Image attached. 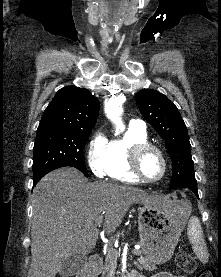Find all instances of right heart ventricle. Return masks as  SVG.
<instances>
[{
	"instance_id": "obj_1",
	"label": "right heart ventricle",
	"mask_w": 221,
	"mask_h": 277,
	"mask_svg": "<svg viewBox=\"0 0 221 277\" xmlns=\"http://www.w3.org/2000/svg\"><path fill=\"white\" fill-rule=\"evenodd\" d=\"M146 142H148L147 132L132 127H129L123 137L109 141L105 174L113 180L138 183L139 180L129 167V154L134 145Z\"/></svg>"
}]
</instances>
